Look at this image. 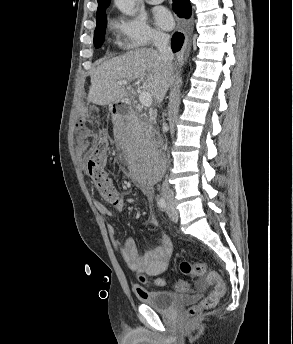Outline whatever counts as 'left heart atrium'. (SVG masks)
<instances>
[{"label": "left heart atrium", "instance_id": "obj_1", "mask_svg": "<svg viewBox=\"0 0 293 344\" xmlns=\"http://www.w3.org/2000/svg\"><path fill=\"white\" fill-rule=\"evenodd\" d=\"M154 20L163 29H170L173 23L170 13L164 8H157L154 11Z\"/></svg>", "mask_w": 293, "mask_h": 344}]
</instances>
